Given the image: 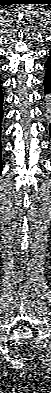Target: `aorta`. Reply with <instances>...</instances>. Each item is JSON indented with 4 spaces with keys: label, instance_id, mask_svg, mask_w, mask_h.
Masks as SVG:
<instances>
[{
    "label": "aorta",
    "instance_id": "1",
    "mask_svg": "<svg viewBox=\"0 0 51 393\" xmlns=\"http://www.w3.org/2000/svg\"><path fill=\"white\" fill-rule=\"evenodd\" d=\"M45 111H46L47 113H49V111H50V106H49L48 103H46V105H45Z\"/></svg>",
    "mask_w": 51,
    "mask_h": 393
}]
</instances>
